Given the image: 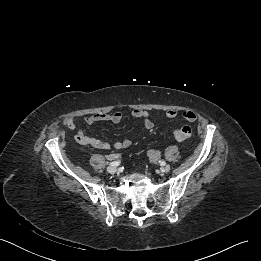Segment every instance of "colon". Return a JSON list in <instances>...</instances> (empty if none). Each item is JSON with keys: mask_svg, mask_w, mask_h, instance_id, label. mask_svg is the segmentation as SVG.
I'll list each match as a JSON object with an SVG mask.
<instances>
[{"mask_svg": "<svg viewBox=\"0 0 261 261\" xmlns=\"http://www.w3.org/2000/svg\"><path fill=\"white\" fill-rule=\"evenodd\" d=\"M192 135V128L188 125L175 128L173 130V136L178 141H184L191 137Z\"/></svg>", "mask_w": 261, "mask_h": 261, "instance_id": "1", "label": "colon"}]
</instances>
